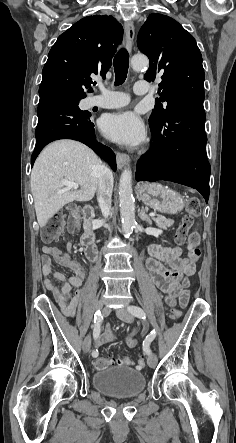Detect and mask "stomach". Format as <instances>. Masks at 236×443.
<instances>
[{
	"label": "stomach",
	"instance_id": "stomach-1",
	"mask_svg": "<svg viewBox=\"0 0 236 443\" xmlns=\"http://www.w3.org/2000/svg\"><path fill=\"white\" fill-rule=\"evenodd\" d=\"M138 195L144 204L161 213L177 214L185 206L179 193L159 183L140 185Z\"/></svg>",
	"mask_w": 236,
	"mask_h": 443
}]
</instances>
